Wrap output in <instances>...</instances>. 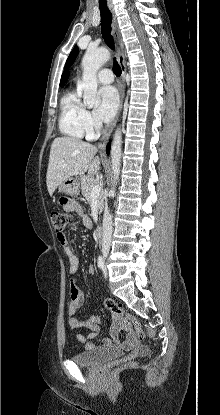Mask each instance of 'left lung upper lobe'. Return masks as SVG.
<instances>
[{
	"label": "left lung upper lobe",
	"instance_id": "1",
	"mask_svg": "<svg viewBox=\"0 0 220 415\" xmlns=\"http://www.w3.org/2000/svg\"><path fill=\"white\" fill-rule=\"evenodd\" d=\"M77 55H78V47L75 46L66 61L65 68H68L69 66L73 64Z\"/></svg>",
	"mask_w": 220,
	"mask_h": 415
}]
</instances>
